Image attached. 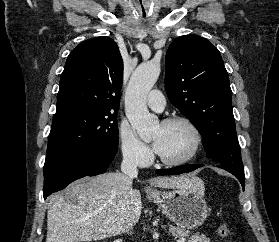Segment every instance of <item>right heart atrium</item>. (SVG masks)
Returning <instances> with one entry per match:
<instances>
[{"label": "right heart atrium", "instance_id": "obj_1", "mask_svg": "<svg viewBox=\"0 0 279 242\" xmlns=\"http://www.w3.org/2000/svg\"><path fill=\"white\" fill-rule=\"evenodd\" d=\"M118 142L123 160L133 166H145L151 160L150 149L140 141L131 127L122 122L118 126Z\"/></svg>", "mask_w": 279, "mask_h": 242}]
</instances>
